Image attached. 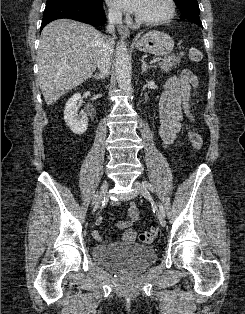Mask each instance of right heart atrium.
I'll list each match as a JSON object with an SVG mask.
<instances>
[{
	"label": "right heart atrium",
	"instance_id": "d8ad5b80",
	"mask_svg": "<svg viewBox=\"0 0 245 314\" xmlns=\"http://www.w3.org/2000/svg\"><path fill=\"white\" fill-rule=\"evenodd\" d=\"M109 16L111 19H116L117 18V14L114 11H110L109 12Z\"/></svg>",
	"mask_w": 245,
	"mask_h": 314
}]
</instances>
